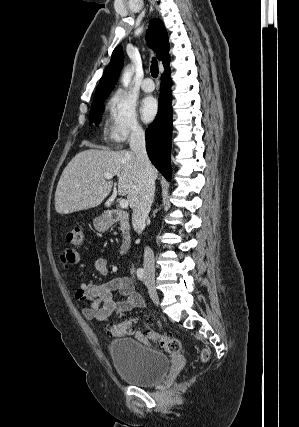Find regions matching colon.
<instances>
[{
    "mask_svg": "<svg viewBox=\"0 0 299 427\" xmlns=\"http://www.w3.org/2000/svg\"><path fill=\"white\" fill-rule=\"evenodd\" d=\"M65 240L68 245L72 248L79 247L83 243V230L81 227H74L66 232ZM70 248V249H72ZM110 332L116 336H124L133 333H137L134 320L126 318L110 327ZM144 336L154 340L164 351L177 354L181 352L182 344L179 339L170 336H156L150 328H146L143 332ZM210 357V353L207 349H204L201 353V360L206 362Z\"/></svg>",
    "mask_w": 299,
    "mask_h": 427,
    "instance_id": "obj_1",
    "label": "colon"
}]
</instances>
